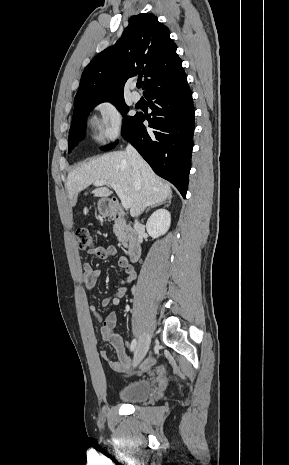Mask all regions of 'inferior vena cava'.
<instances>
[{"label": "inferior vena cava", "instance_id": "1", "mask_svg": "<svg viewBox=\"0 0 289 465\" xmlns=\"http://www.w3.org/2000/svg\"><path fill=\"white\" fill-rule=\"evenodd\" d=\"M126 153L130 159L134 171L138 172V170L143 166L144 160L131 144L127 145ZM137 225H139V222L135 220V226Z\"/></svg>", "mask_w": 289, "mask_h": 465}]
</instances>
